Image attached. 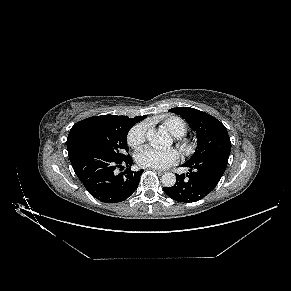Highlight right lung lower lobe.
I'll use <instances>...</instances> for the list:
<instances>
[{"label":"right lung lower lobe","mask_w":291,"mask_h":291,"mask_svg":"<svg viewBox=\"0 0 291 291\" xmlns=\"http://www.w3.org/2000/svg\"><path fill=\"white\" fill-rule=\"evenodd\" d=\"M72 167L88 192L105 203L126 200L137 189L143 170H130L132 158L117 159L100 150L79 145L68 151ZM128 167L116 174L115 169Z\"/></svg>","instance_id":"obj_1"}]
</instances>
